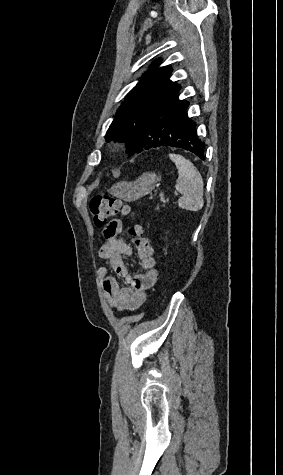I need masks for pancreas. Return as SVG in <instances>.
Masks as SVG:
<instances>
[{
  "instance_id": "obj_1",
  "label": "pancreas",
  "mask_w": 283,
  "mask_h": 475,
  "mask_svg": "<svg viewBox=\"0 0 283 475\" xmlns=\"http://www.w3.org/2000/svg\"><path fill=\"white\" fill-rule=\"evenodd\" d=\"M160 200L163 202V204H166V202H169V200H165L164 194H160ZM156 210H159V206H157Z\"/></svg>"
}]
</instances>
